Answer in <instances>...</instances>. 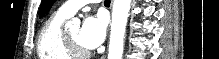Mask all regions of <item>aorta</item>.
I'll list each match as a JSON object with an SVG mask.
<instances>
[{"label":"aorta","instance_id":"1","mask_svg":"<svg viewBox=\"0 0 219 59\" xmlns=\"http://www.w3.org/2000/svg\"><path fill=\"white\" fill-rule=\"evenodd\" d=\"M131 0H114L108 59H122Z\"/></svg>","mask_w":219,"mask_h":59}]
</instances>
